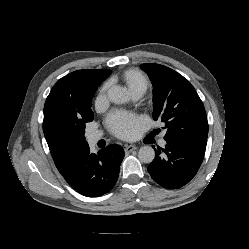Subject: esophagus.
Wrapping results in <instances>:
<instances>
[{"label":"esophagus","mask_w":249,"mask_h":249,"mask_svg":"<svg viewBox=\"0 0 249 249\" xmlns=\"http://www.w3.org/2000/svg\"><path fill=\"white\" fill-rule=\"evenodd\" d=\"M135 149H137V147L135 145H126L124 148V151L126 154H128Z\"/></svg>","instance_id":"esophagus-1"}]
</instances>
